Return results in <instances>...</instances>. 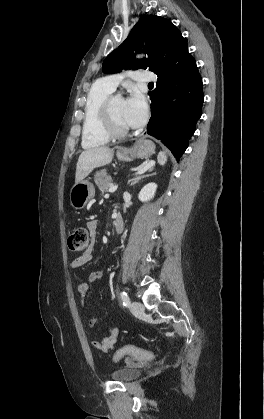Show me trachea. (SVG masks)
<instances>
[{"instance_id":"3493384b","label":"trachea","mask_w":264,"mask_h":419,"mask_svg":"<svg viewBox=\"0 0 264 419\" xmlns=\"http://www.w3.org/2000/svg\"><path fill=\"white\" fill-rule=\"evenodd\" d=\"M149 85H153V83H152V82H150V83H149Z\"/></svg>"}]
</instances>
